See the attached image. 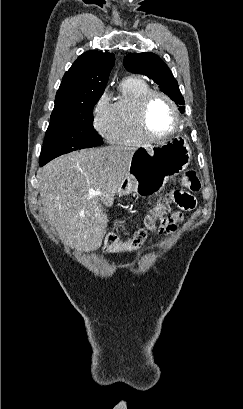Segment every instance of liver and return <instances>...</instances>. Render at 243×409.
Returning <instances> with one entry per match:
<instances>
[{"instance_id": "1", "label": "liver", "mask_w": 243, "mask_h": 409, "mask_svg": "<svg viewBox=\"0 0 243 409\" xmlns=\"http://www.w3.org/2000/svg\"><path fill=\"white\" fill-rule=\"evenodd\" d=\"M136 150L122 146L81 150L38 170L44 214L70 247L90 251L101 245L109 221L104 206L113 205ZM90 189L100 193L90 196Z\"/></svg>"}]
</instances>
